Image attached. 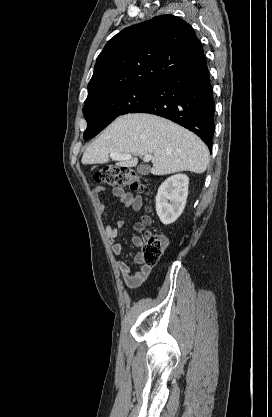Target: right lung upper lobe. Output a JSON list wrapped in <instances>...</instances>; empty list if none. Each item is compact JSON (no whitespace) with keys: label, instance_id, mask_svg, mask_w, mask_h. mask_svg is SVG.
<instances>
[{"label":"right lung upper lobe","instance_id":"cb5924a9","mask_svg":"<svg viewBox=\"0 0 272 417\" xmlns=\"http://www.w3.org/2000/svg\"><path fill=\"white\" fill-rule=\"evenodd\" d=\"M202 53L193 28L173 15L125 28L97 57L85 103L122 89L160 84Z\"/></svg>","mask_w":272,"mask_h":417}]
</instances>
